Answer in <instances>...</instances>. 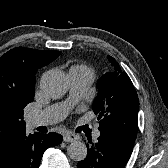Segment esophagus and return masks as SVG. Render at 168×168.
Listing matches in <instances>:
<instances>
[{
	"mask_svg": "<svg viewBox=\"0 0 168 168\" xmlns=\"http://www.w3.org/2000/svg\"><path fill=\"white\" fill-rule=\"evenodd\" d=\"M63 140L65 142H74V141L78 140V137L75 134L68 133L63 136Z\"/></svg>",
	"mask_w": 168,
	"mask_h": 168,
	"instance_id": "34e87169",
	"label": "esophagus"
}]
</instances>
